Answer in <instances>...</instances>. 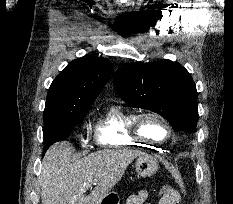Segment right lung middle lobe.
Instances as JSON below:
<instances>
[{
    "instance_id": "1",
    "label": "right lung middle lobe",
    "mask_w": 233,
    "mask_h": 204,
    "mask_svg": "<svg viewBox=\"0 0 233 204\" xmlns=\"http://www.w3.org/2000/svg\"><path fill=\"white\" fill-rule=\"evenodd\" d=\"M87 111L70 114L57 119L44 120V149H48L55 142L66 139L73 127L83 121Z\"/></svg>"
}]
</instances>
